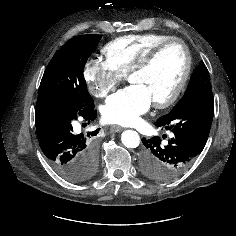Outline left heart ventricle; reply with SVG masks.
Here are the masks:
<instances>
[{"mask_svg":"<svg viewBox=\"0 0 236 236\" xmlns=\"http://www.w3.org/2000/svg\"><path fill=\"white\" fill-rule=\"evenodd\" d=\"M185 66L183 49L179 44L167 46L154 63L143 72L129 77L131 84L143 86L152 101L166 98L178 83Z\"/></svg>","mask_w":236,"mask_h":236,"instance_id":"1","label":"left heart ventricle"}]
</instances>
